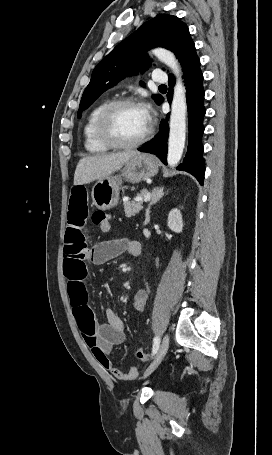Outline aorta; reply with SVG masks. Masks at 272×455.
<instances>
[{
  "mask_svg": "<svg viewBox=\"0 0 272 455\" xmlns=\"http://www.w3.org/2000/svg\"><path fill=\"white\" fill-rule=\"evenodd\" d=\"M152 53L165 63L176 77L173 100L171 104L170 132L167 163L176 166L183 154L186 139V90L181 77V68L175 55L163 48H155Z\"/></svg>",
  "mask_w": 272,
  "mask_h": 455,
  "instance_id": "762f6f07",
  "label": "aorta"
}]
</instances>
